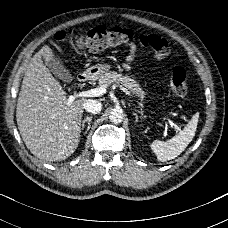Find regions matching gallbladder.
Wrapping results in <instances>:
<instances>
[{"instance_id":"1","label":"gallbladder","mask_w":228,"mask_h":228,"mask_svg":"<svg viewBox=\"0 0 228 228\" xmlns=\"http://www.w3.org/2000/svg\"><path fill=\"white\" fill-rule=\"evenodd\" d=\"M45 60L46 66L50 69L52 74L58 79L70 83L73 77L68 69L65 68L64 64L56 59L53 55L50 56L49 60Z\"/></svg>"}]
</instances>
